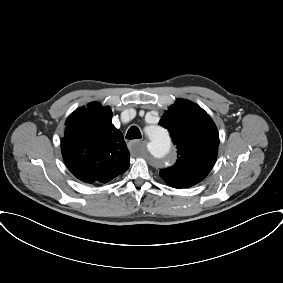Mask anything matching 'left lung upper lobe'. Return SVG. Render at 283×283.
Returning <instances> with one entry per match:
<instances>
[{
  "instance_id": "left-lung-upper-lobe-1",
  "label": "left lung upper lobe",
  "mask_w": 283,
  "mask_h": 283,
  "mask_svg": "<svg viewBox=\"0 0 283 283\" xmlns=\"http://www.w3.org/2000/svg\"><path fill=\"white\" fill-rule=\"evenodd\" d=\"M167 128L178 149L174 166L160 176L174 188H187L203 180L213 168L219 135L210 116L198 105L179 100L163 114L159 122Z\"/></svg>"
}]
</instances>
